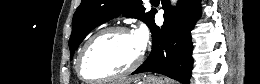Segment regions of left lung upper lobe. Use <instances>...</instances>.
I'll list each match as a JSON object with an SVG mask.
<instances>
[{
  "instance_id": "5c2ea615",
  "label": "left lung upper lobe",
  "mask_w": 260,
  "mask_h": 84,
  "mask_svg": "<svg viewBox=\"0 0 260 84\" xmlns=\"http://www.w3.org/2000/svg\"><path fill=\"white\" fill-rule=\"evenodd\" d=\"M156 10L145 11L141 0H82L72 21V34L69 40L71 58L87 36L96 26L120 14L144 21L149 27Z\"/></svg>"
}]
</instances>
